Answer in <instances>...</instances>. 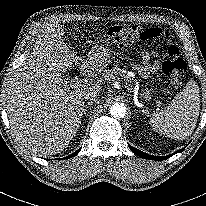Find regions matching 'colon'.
<instances>
[{"label": "colon", "mask_w": 206, "mask_h": 206, "mask_svg": "<svg viewBox=\"0 0 206 206\" xmlns=\"http://www.w3.org/2000/svg\"><path fill=\"white\" fill-rule=\"evenodd\" d=\"M107 39L114 44H128L134 39L152 40L156 47L163 46V73L173 84L181 83L186 72V62L181 58L179 48L172 44L168 30L160 27L142 29L138 25L113 27L109 30Z\"/></svg>", "instance_id": "5ec220e1"}]
</instances>
